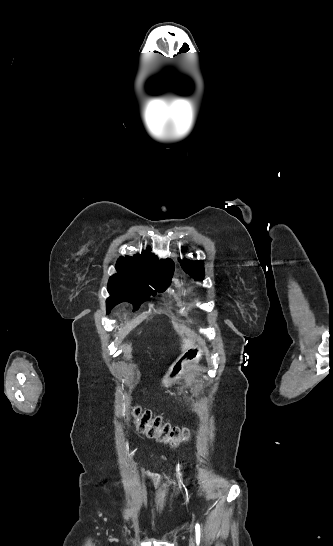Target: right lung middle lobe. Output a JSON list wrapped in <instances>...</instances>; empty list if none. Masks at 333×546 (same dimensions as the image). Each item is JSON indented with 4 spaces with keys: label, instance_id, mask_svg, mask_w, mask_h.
Here are the masks:
<instances>
[{
    "label": "right lung middle lobe",
    "instance_id": "right-lung-middle-lobe-1",
    "mask_svg": "<svg viewBox=\"0 0 333 546\" xmlns=\"http://www.w3.org/2000/svg\"><path fill=\"white\" fill-rule=\"evenodd\" d=\"M118 273L113 275L109 279L108 292L110 297L107 299V313L118 303L127 301L134 305L135 309L141 301L147 300L149 294H154L148 283L155 288L156 291L162 292L169 286L168 276H172L174 272L173 264L159 263L157 265L156 279L165 280V283L153 281L151 277L143 276L141 279L139 275H133L127 273L119 265L116 266ZM146 293L143 294L142 291Z\"/></svg>",
    "mask_w": 333,
    "mask_h": 546
}]
</instances>
